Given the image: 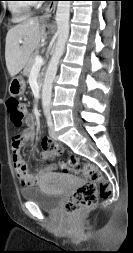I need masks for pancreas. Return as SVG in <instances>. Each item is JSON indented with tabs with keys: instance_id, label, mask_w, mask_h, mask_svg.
<instances>
[{
	"instance_id": "1",
	"label": "pancreas",
	"mask_w": 133,
	"mask_h": 253,
	"mask_svg": "<svg viewBox=\"0 0 133 253\" xmlns=\"http://www.w3.org/2000/svg\"><path fill=\"white\" fill-rule=\"evenodd\" d=\"M37 56V53H32L28 59V62L24 68V71H23V74L25 76H29L30 72H31V69L35 63V58ZM43 76V72H40L39 75H38V83L40 84L41 83V77Z\"/></svg>"
}]
</instances>
